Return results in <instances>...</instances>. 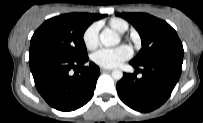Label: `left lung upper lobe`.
Returning a JSON list of instances; mask_svg holds the SVG:
<instances>
[{
    "label": "left lung upper lobe",
    "mask_w": 203,
    "mask_h": 123,
    "mask_svg": "<svg viewBox=\"0 0 203 123\" xmlns=\"http://www.w3.org/2000/svg\"><path fill=\"white\" fill-rule=\"evenodd\" d=\"M118 16L130 22L138 31L142 48L131 60L135 64L166 59H183L184 50L176 31L165 21L146 13H118Z\"/></svg>",
    "instance_id": "1"
}]
</instances>
